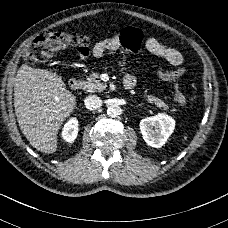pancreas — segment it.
<instances>
[{
	"mask_svg": "<svg viewBox=\"0 0 228 228\" xmlns=\"http://www.w3.org/2000/svg\"><path fill=\"white\" fill-rule=\"evenodd\" d=\"M105 89L106 85L100 82L98 73H91L83 85V90L91 93L102 92ZM147 100L149 103H154L157 107L163 108V110L169 109V106L157 97L148 95ZM171 111H176V109H172Z\"/></svg>",
	"mask_w": 228,
	"mask_h": 228,
	"instance_id": "cf45deb5",
	"label": "pancreas"
}]
</instances>
